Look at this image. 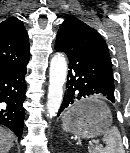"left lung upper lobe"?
<instances>
[{
  "label": "left lung upper lobe",
  "instance_id": "left-lung-upper-lobe-1",
  "mask_svg": "<svg viewBox=\"0 0 130 153\" xmlns=\"http://www.w3.org/2000/svg\"><path fill=\"white\" fill-rule=\"evenodd\" d=\"M57 34L67 36L94 51L112 68L108 47L101 35L83 21L75 17L67 18L60 26Z\"/></svg>",
  "mask_w": 130,
  "mask_h": 153
}]
</instances>
